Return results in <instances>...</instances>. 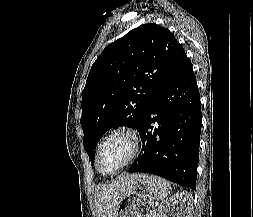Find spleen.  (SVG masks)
Here are the masks:
<instances>
[{
	"label": "spleen",
	"mask_w": 253,
	"mask_h": 217,
	"mask_svg": "<svg viewBox=\"0 0 253 217\" xmlns=\"http://www.w3.org/2000/svg\"><path fill=\"white\" fill-rule=\"evenodd\" d=\"M151 178L159 187V198L165 199L170 194V191L172 189L171 184L167 180L158 176H151Z\"/></svg>",
	"instance_id": "spleen-1"
}]
</instances>
